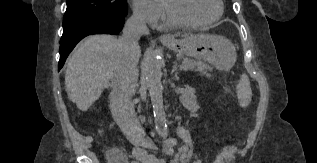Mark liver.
Wrapping results in <instances>:
<instances>
[{
    "instance_id": "liver-1",
    "label": "liver",
    "mask_w": 317,
    "mask_h": 163,
    "mask_svg": "<svg viewBox=\"0 0 317 163\" xmlns=\"http://www.w3.org/2000/svg\"><path fill=\"white\" fill-rule=\"evenodd\" d=\"M118 41L111 35L87 37L67 62L65 87L68 98L81 111L88 110L107 88L119 56ZM141 49L137 50V58Z\"/></svg>"
}]
</instances>
